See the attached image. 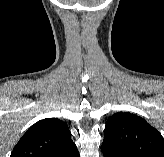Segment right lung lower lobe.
<instances>
[{"mask_svg": "<svg viewBox=\"0 0 164 157\" xmlns=\"http://www.w3.org/2000/svg\"><path fill=\"white\" fill-rule=\"evenodd\" d=\"M56 157H80L78 149L76 146H71L70 148L66 149L64 152L60 153Z\"/></svg>", "mask_w": 164, "mask_h": 157, "instance_id": "1", "label": "right lung lower lobe"}]
</instances>
